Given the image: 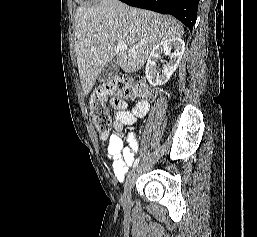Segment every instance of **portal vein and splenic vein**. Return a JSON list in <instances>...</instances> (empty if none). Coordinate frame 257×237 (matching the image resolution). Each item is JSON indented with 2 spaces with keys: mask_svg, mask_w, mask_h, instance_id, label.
<instances>
[{
  "mask_svg": "<svg viewBox=\"0 0 257 237\" xmlns=\"http://www.w3.org/2000/svg\"><path fill=\"white\" fill-rule=\"evenodd\" d=\"M117 49L119 50H125L128 49L126 43L124 41H118L117 43Z\"/></svg>",
  "mask_w": 257,
  "mask_h": 237,
  "instance_id": "1",
  "label": "portal vein and splenic vein"
}]
</instances>
